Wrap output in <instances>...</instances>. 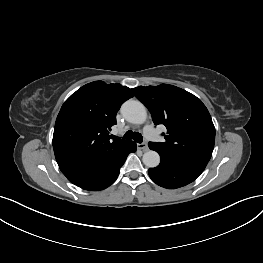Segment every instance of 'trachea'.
<instances>
[{"instance_id":"3493384b","label":"trachea","mask_w":263,"mask_h":263,"mask_svg":"<svg viewBox=\"0 0 263 263\" xmlns=\"http://www.w3.org/2000/svg\"><path fill=\"white\" fill-rule=\"evenodd\" d=\"M124 139H133L137 143H142L143 137L140 133L138 132H132L131 130L127 131L124 136Z\"/></svg>"}]
</instances>
